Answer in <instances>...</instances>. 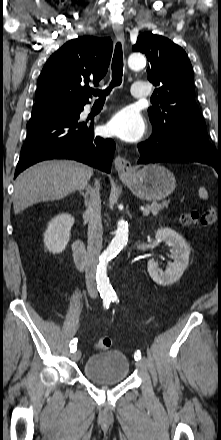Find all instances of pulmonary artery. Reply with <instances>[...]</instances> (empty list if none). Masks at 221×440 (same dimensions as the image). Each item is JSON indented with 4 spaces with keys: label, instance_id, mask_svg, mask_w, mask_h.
<instances>
[{
    "label": "pulmonary artery",
    "instance_id": "e3ab8cb5",
    "mask_svg": "<svg viewBox=\"0 0 221 440\" xmlns=\"http://www.w3.org/2000/svg\"><path fill=\"white\" fill-rule=\"evenodd\" d=\"M131 93L136 98H147L150 94L147 86L141 82H135L132 84Z\"/></svg>",
    "mask_w": 221,
    "mask_h": 440
}]
</instances>
